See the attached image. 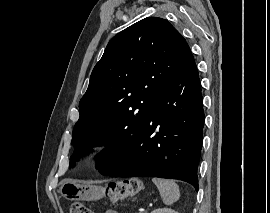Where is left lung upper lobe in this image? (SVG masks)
I'll return each instance as SVG.
<instances>
[{
  "label": "left lung upper lobe",
  "mask_w": 270,
  "mask_h": 213,
  "mask_svg": "<svg viewBox=\"0 0 270 213\" xmlns=\"http://www.w3.org/2000/svg\"><path fill=\"white\" fill-rule=\"evenodd\" d=\"M194 64L187 42L165 19L147 17L114 36L80 100L74 155L93 146L98 133L106 134L108 144L129 139L171 82Z\"/></svg>",
  "instance_id": "1"
}]
</instances>
